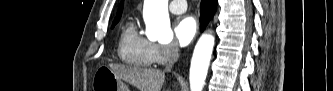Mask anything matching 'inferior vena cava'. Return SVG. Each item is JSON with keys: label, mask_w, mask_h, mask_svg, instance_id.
<instances>
[{"label": "inferior vena cava", "mask_w": 333, "mask_h": 91, "mask_svg": "<svg viewBox=\"0 0 333 91\" xmlns=\"http://www.w3.org/2000/svg\"><path fill=\"white\" fill-rule=\"evenodd\" d=\"M178 58H179L178 44L176 42H173L170 44L169 60L165 68V71L167 72L171 71L172 67L177 62Z\"/></svg>", "instance_id": "1"}]
</instances>
